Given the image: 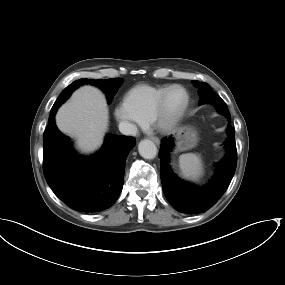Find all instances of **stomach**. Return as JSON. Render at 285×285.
Returning <instances> with one entry per match:
<instances>
[{"instance_id":"0dacf381","label":"stomach","mask_w":285,"mask_h":285,"mask_svg":"<svg viewBox=\"0 0 285 285\" xmlns=\"http://www.w3.org/2000/svg\"><path fill=\"white\" fill-rule=\"evenodd\" d=\"M198 136L193 127L183 126L176 130L177 151L189 150L197 144Z\"/></svg>"}]
</instances>
